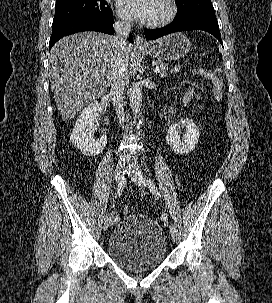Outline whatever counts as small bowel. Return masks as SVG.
<instances>
[{"instance_id": "small-bowel-1", "label": "small bowel", "mask_w": 272, "mask_h": 303, "mask_svg": "<svg viewBox=\"0 0 272 303\" xmlns=\"http://www.w3.org/2000/svg\"><path fill=\"white\" fill-rule=\"evenodd\" d=\"M199 95L193 90V89H188L185 94H184V104H188L192 99H198Z\"/></svg>"}]
</instances>
